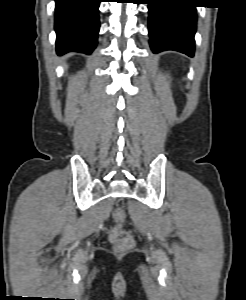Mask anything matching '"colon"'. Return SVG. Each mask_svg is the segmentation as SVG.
<instances>
[{
	"label": "colon",
	"mask_w": 246,
	"mask_h": 300,
	"mask_svg": "<svg viewBox=\"0 0 246 300\" xmlns=\"http://www.w3.org/2000/svg\"><path fill=\"white\" fill-rule=\"evenodd\" d=\"M113 219L115 225L108 233L110 242L120 250L130 248L133 245V239L131 234L123 228L125 223V213L121 207H115L113 210Z\"/></svg>",
	"instance_id": "colon-1"
}]
</instances>
